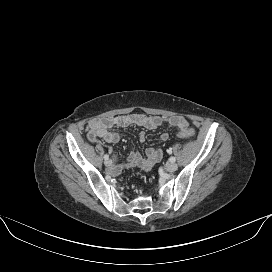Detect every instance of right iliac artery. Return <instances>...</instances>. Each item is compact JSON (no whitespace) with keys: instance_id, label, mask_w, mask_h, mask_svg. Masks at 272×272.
Here are the masks:
<instances>
[{"instance_id":"right-iliac-artery-1","label":"right iliac artery","mask_w":272,"mask_h":272,"mask_svg":"<svg viewBox=\"0 0 272 272\" xmlns=\"http://www.w3.org/2000/svg\"><path fill=\"white\" fill-rule=\"evenodd\" d=\"M104 159H105V160H108V159H109V155L105 154V155H104Z\"/></svg>"}]
</instances>
